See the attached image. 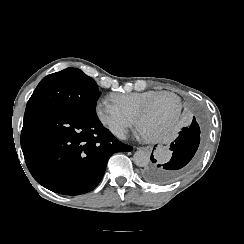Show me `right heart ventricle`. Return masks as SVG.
Wrapping results in <instances>:
<instances>
[{"label": "right heart ventricle", "instance_id": "1", "mask_svg": "<svg viewBox=\"0 0 244 244\" xmlns=\"http://www.w3.org/2000/svg\"><path fill=\"white\" fill-rule=\"evenodd\" d=\"M157 93H162V92L146 91L142 93H133V94H126V95L111 93L107 96V99L113 104L132 108L139 116L142 105L148 100H150L151 98H153V96L156 95Z\"/></svg>", "mask_w": 244, "mask_h": 244}]
</instances>
